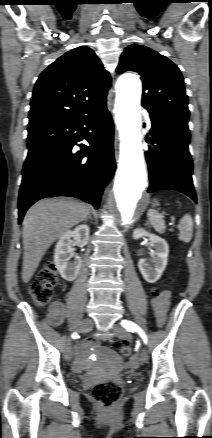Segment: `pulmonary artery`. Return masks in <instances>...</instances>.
<instances>
[{
	"mask_svg": "<svg viewBox=\"0 0 212 438\" xmlns=\"http://www.w3.org/2000/svg\"><path fill=\"white\" fill-rule=\"evenodd\" d=\"M145 116H146V121L149 123V122H150V119H149V115H148V113H145Z\"/></svg>",
	"mask_w": 212,
	"mask_h": 438,
	"instance_id": "e3ab8cb5",
	"label": "pulmonary artery"
}]
</instances>
